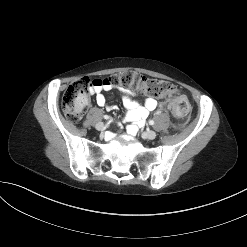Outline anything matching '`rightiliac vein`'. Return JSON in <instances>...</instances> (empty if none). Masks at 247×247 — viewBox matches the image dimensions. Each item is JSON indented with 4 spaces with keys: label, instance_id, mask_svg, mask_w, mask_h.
<instances>
[{
    "label": "right iliac vein",
    "instance_id": "63e3f726",
    "mask_svg": "<svg viewBox=\"0 0 247 247\" xmlns=\"http://www.w3.org/2000/svg\"><path fill=\"white\" fill-rule=\"evenodd\" d=\"M105 128H106V126L103 123H101V122L96 125V129L98 131H104Z\"/></svg>",
    "mask_w": 247,
    "mask_h": 247
}]
</instances>
